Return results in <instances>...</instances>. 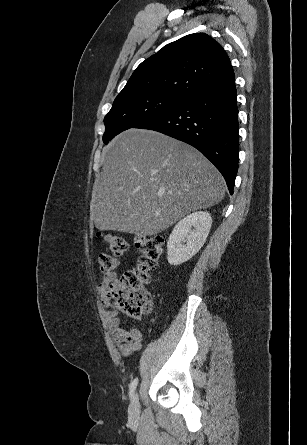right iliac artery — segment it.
<instances>
[{
	"instance_id": "1",
	"label": "right iliac artery",
	"mask_w": 307,
	"mask_h": 445,
	"mask_svg": "<svg viewBox=\"0 0 307 445\" xmlns=\"http://www.w3.org/2000/svg\"><path fill=\"white\" fill-rule=\"evenodd\" d=\"M137 383H138V378L134 379V380L131 382L130 386H129V396H130V398L133 396V394H134V392H135Z\"/></svg>"
}]
</instances>
